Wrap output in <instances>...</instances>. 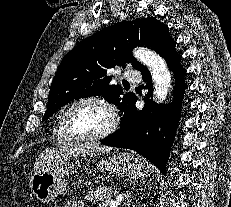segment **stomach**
<instances>
[{
    "instance_id": "obj_1",
    "label": "stomach",
    "mask_w": 231,
    "mask_h": 207,
    "mask_svg": "<svg viewBox=\"0 0 231 207\" xmlns=\"http://www.w3.org/2000/svg\"><path fill=\"white\" fill-rule=\"evenodd\" d=\"M81 160L78 157L61 159L49 168L36 171L30 179V190L35 198L43 203H49L57 196L69 192L67 176L81 168L90 170L89 164L82 166ZM99 169L131 179L142 178L150 172L145 161L128 152H120L108 159H101L94 170Z\"/></svg>"
}]
</instances>
